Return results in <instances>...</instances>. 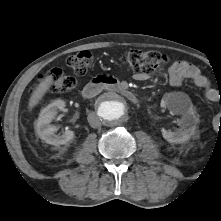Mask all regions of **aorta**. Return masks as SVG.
I'll return each mask as SVG.
<instances>
[{
  "label": "aorta",
  "mask_w": 221,
  "mask_h": 221,
  "mask_svg": "<svg viewBox=\"0 0 221 221\" xmlns=\"http://www.w3.org/2000/svg\"><path fill=\"white\" fill-rule=\"evenodd\" d=\"M97 113L104 123L116 125L125 120L128 103L121 95L109 93L99 99Z\"/></svg>",
  "instance_id": "obj_1"
}]
</instances>
